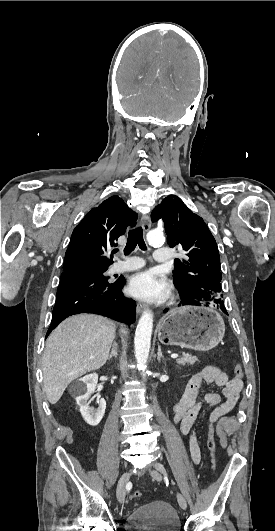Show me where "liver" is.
<instances>
[{"label": "liver", "mask_w": 275, "mask_h": 531, "mask_svg": "<svg viewBox=\"0 0 275 531\" xmlns=\"http://www.w3.org/2000/svg\"><path fill=\"white\" fill-rule=\"evenodd\" d=\"M120 331L126 333V329ZM114 333L115 323L98 315L69 317L52 331L42 359L44 389L51 405L58 403L74 379L105 365Z\"/></svg>", "instance_id": "obj_1"}]
</instances>
